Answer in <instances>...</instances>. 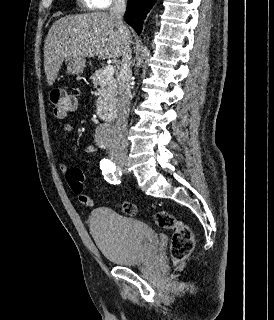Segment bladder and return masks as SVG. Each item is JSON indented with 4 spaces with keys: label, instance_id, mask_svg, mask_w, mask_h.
I'll use <instances>...</instances> for the list:
<instances>
[{
    "label": "bladder",
    "instance_id": "31cf9c89",
    "mask_svg": "<svg viewBox=\"0 0 274 320\" xmlns=\"http://www.w3.org/2000/svg\"><path fill=\"white\" fill-rule=\"evenodd\" d=\"M88 227L104 258L119 266L141 265L157 252L159 238L148 224L113 209L94 210Z\"/></svg>",
    "mask_w": 274,
    "mask_h": 320
}]
</instances>
